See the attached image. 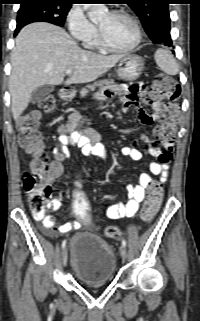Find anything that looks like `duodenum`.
Masks as SVG:
<instances>
[{
	"mask_svg": "<svg viewBox=\"0 0 200 321\" xmlns=\"http://www.w3.org/2000/svg\"><path fill=\"white\" fill-rule=\"evenodd\" d=\"M62 96L65 98V99H69L72 97V93L71 91L65 89L63 92H62Z\"/></svg>",
	"mask_w": 200,
	"mask_h": 321,
	"instance_id": "410a0bca",
	"label": "duodenum"
}]
</instances>
